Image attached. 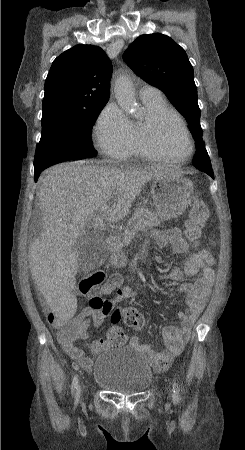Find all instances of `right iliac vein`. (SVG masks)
<instances>
[{
	"instance_id": "63e3f726",
	"label": "right iliac vein",
	"mask_w": 245,
	"mask_h": 450,
	"mask_svg": "<svg viewBox=\"0 0 245 450\" xmlns=\"http://www.w3.org/2000/svg\"><path fill=\"white\" fill-rule=\"evenodd\" d=\"M82 392H83V389H82V390L80 389V394H82ZM80 394H79V395H80Z\"/></svg>"
}]
</instances>
